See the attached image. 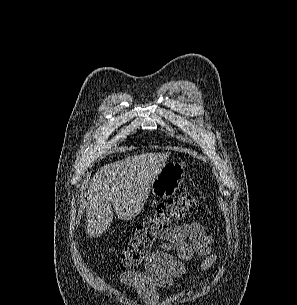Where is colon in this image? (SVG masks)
I'll list each match as a JSON object with an SVG mask.
<instances>
[{
  "instance_id": "obj_1",
  "label": "colon",
  "mask_w": 297,
  "mask_h": 305,
  "mask_svg": "<svg viewBox=\"0 0 297 305\" xmlns=\"http://www.w3.org/2000/svg\"><path fill=\"white\" fill-rule=\"evenodd\" d=\"M195 194L186 193L160 203L155 213L140 223L128 243L119 251V267L132 270L138 267L152 252L159 235L199 210Z\"/></svg>"
}]
</instances>
